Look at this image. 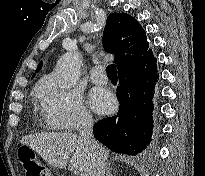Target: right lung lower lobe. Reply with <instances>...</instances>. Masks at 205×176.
<instances>
[{
  "instance_id": "1",
  "label": "right lung lower lobe",
  "mask_w": 205,
  "mask_h": 176,
  "mask_svg": "<svg viewBox=\"0 0 205 176\" xmlns=\"http://www.w3.org/2000/svg\"><path fill=\"white\" fill-rule=\"evenodd\" d=\"M117 115L94 125V137L110 150L136 155L151 142L153 97L159 75L152 51L118 71Z\"/></svg>"
}]
</instances>
